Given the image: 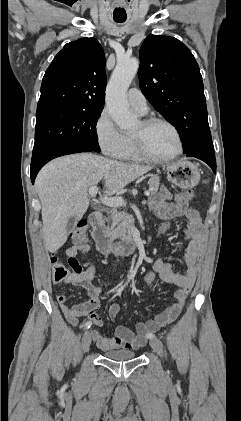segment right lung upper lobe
<instances>
[{
	"label": "right lung upper lobe",
	"instance_id": "right-lung-upper-lobe-1",
	"mask_svg": "<svg viewBox=\"0 0 241 421\" xmlns=\"http://www.w3.org/2000/svg\"><path fill=\"white\" fill-rule=\"evenodd\" d=\"M105 62L103 48L95 38L66 44L45 72L37 110L52 107L102 110Z\"/></svg>",
	"mask_w": 241,
	"mask_h": 421
}]
</instances>
